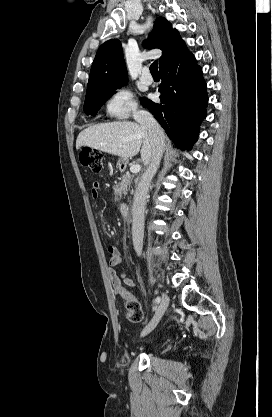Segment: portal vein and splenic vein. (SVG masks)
Masks as SVG:
<instances>
[{
	"label": "portal vein and splenic vein",
	"mask_w": 272,
	"mask_h": 417,
	"mask_svg": "<svg viewBox=\"0 0 272 417\" xmlns=\"http://www.w3.org/2000/svg\"><path fill=\"white\" fill-rule=\"evenodd\" d=\"M140 170H141V166L139 164H134L130 168L131 173H134V174L139 173Z\"/></svg>",
	"instance_id": "obj_1"
}]
</instances>
